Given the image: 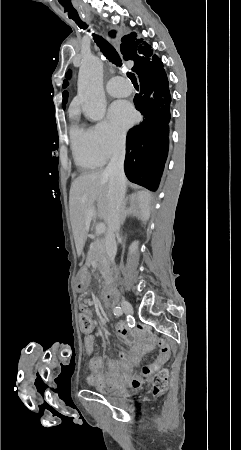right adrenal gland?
<instances>
[{"label": "right adrenal gland", "instance_id": "obj_1", "mask_svg": "<svg viewBox=\"0 0 241 450\" xmlns=\"http://www.w3.org/2000/svg\"><path fill=\"white\" fill-rule=\"evenodd\" d=\"M125 216H127V214H133V212H124ZM124 222V220H123Z\"/></svg>", "mask_w": 241, "mask_h": 450}]
</instances>
